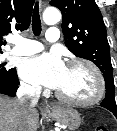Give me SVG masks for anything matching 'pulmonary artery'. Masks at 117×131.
<instances>
[{
  "label": "pulmonary artery",
  "mask_w": 117,
  "mask_h": 131,
  "mask_svg": "<svg viewBox=\"0 0 117 131\" xmlns=\"http://www.w3.org/2000/svg\"><path fill=\"white\" fill-rule=\"evenodd\" d=\"M46 39L49 42H56L59 39V30L55 27L49 28L46 32ZM13 43L12 53L15 55H32L43 49L42 44L38 41L22 37L15 38Z\"/></svg>",
  "instance_id": "e3ab8cb5"
}]
</instances>
